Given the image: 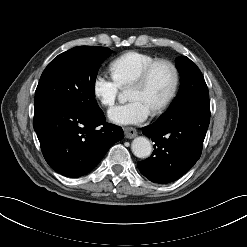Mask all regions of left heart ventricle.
<instances>
[{
    "mask_svg": "<svg viewBox=\"0 0 247 247\" xmlns=\"http://www.w3.org/2000/svg\"><path fill=\"white\" fill-rule=\"evenodd\" d=\"M171 83V70L166 66H159L153 71L144 86L129 89L128 97L130 99H137L152 109L166 96Z\"/></svg>",
    "mask_w": 247,
    "mask_h": 247,
    "instance_id": "left-heart-ventricle-1",
    "label": "left heart ventricle"
}]
</instances>
